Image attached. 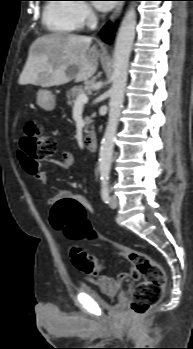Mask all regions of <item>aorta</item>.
Segmentation results:
<instances>
[{
	"mask_svg": "<svg viewBox=\"0 0 193 349\" xmlns=\"http://www.w3.org/2000/svg\"><path fill=\"white\" fill-rule=\"evenodd\" d=\"M135 28L136 10L135 2H132L121 22L115 43L112 86L109 91V118L99 153V173L102 181H107L109 179L111 170L113 148L124 101L128 76L127 71L135 38Z\"/></svg>",
	"mask_w": 193,
	"mask_h": 349,
	"instance_id": "obj_1",
	"label": "aorta"
}]
</instances>
